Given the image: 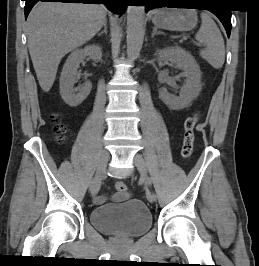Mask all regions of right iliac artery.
<instances>
[{
	"mask_svg": "<svg viewBox=\"0 0 259 266\" xmlns=\"http://www.w3.org/2000/svg\"><path fill=\"white\" fill-rule=\"evenodd\" d=\"M93 185H94V182L92 180V182H90V185H88V189H91Z\"/></svg>",
	"mask_w": 259,
	"mask_h": 266,
	"instance_id": "82829eb1",
	"label": "right iliac artery"
}]
</instances>
